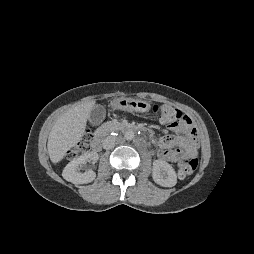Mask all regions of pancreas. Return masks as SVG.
I'll return each mask as SVG.
<instances>
[{
	"label": "pancreas",
	"instance_id": "cf45deb5",
	"mask_svg": "<svg viewBox=\"0 0 254 254\" xmlns=\"http://www.w3.org/2000/svg\"><path fill=\"white\" fill-rule=\"evenodd\" d=\"M108 124H109L110 126H115V127L120 126V123H118V122H109Z\"/></svg>",
	"mask_w": 254,
	"mask_h": 254
}]
</instances>
